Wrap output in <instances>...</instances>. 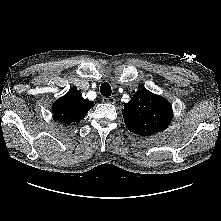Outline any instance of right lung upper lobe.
<instances>
[{
  "instance_id": "1",
  "label": "right lung upper lobe",
  "mask_w": 221,
  "mask_h": 221,
  "mask_svg": "<svg viewBox=\"0 0 221 221\" xmlns=\"http://www.w3.org/2000/svg\"><path fill=\"white\" fill-rule=\"evenodd\" d=\"M93 106L92 101L84 99L80 91L72 88L53 104V118L69 125L81 121Z\"/></svg>"
}]
</instances>
